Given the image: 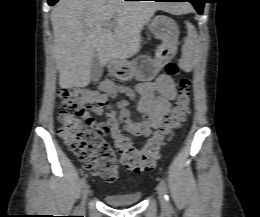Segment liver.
<instances>
[{
	"label": "liver",
	"mask_w": 260,
	"mask_h": 217,
	"mask_svg": "<svg viewBox=\"0 0 260 217\" xmlns=\"http://www.w3.org/2000/svg\"><path fill=\"white\" fill-rule=\"evenodd\" d=\"M187 8L141 1L60 0L51 12L59 86H87L95 56L102 66L112 57L125 61L139 52L140 33L157 10L178 15ZM111 19L116 21L114 33L104 26Z\"/></svg>",
	"instance_id": "liver-1"
}]
</instances>
